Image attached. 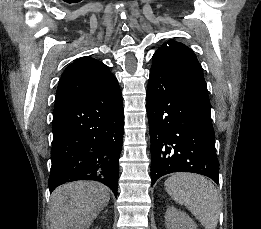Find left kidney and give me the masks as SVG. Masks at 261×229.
Instances as JSON below:
<instances>
[{
    "label": "left kidney",
    "mask_w": 261,
    "mask_h": 229,
    "mask_svg": "<svg viewBox=\"0 0 261 229\" xmlns=\"http://www.w3.org/2000/svg\"><path fill=\"white\" fill-rule=\"evenodd\" d=\"M165 225L166 229H197V225L189 215L174 207H168L165 213Z\"/></svg>",
    "instance_id": "left-kidney-1"
}]
</instances>
